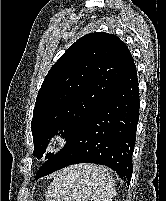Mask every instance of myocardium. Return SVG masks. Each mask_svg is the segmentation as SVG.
Listing matches in <instances>:
<instances>
[{
    "mask_svg": "<svg viewBox=\"0 0 166 201\" xmlns=\"http://www.w3.org/2000/svg\"><path fill=\"white\" fill-rule=\"evenodd\" d=\"M59 140H60L59 136H54V138H53V142L54 143H57Z\"/></svg>",
    "mask_w": 166,
    "mask_h": 201,
    "instance_id": "myocardium-1",
    "label": "myocardium"
}]
</instances>
